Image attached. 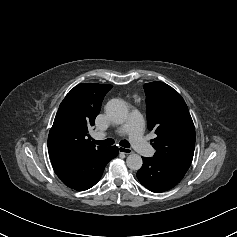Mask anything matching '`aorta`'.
<instances>
[{"label":"aorta","instance_id":"obj_1","mask_svg":"<svg viewBox=\"0 0 237 237\" xmlns=\"http://www.w3.org/2000/svg\"><path fill=\"white\" fill-rule=\"evenodd\" d=\"M105 112L109 119L116 124L124 123L128 116V108L121 99L110 100L105 106ZM126 164L131 170H139L143 161L140 155L133 153L127 157Z\"/></svg>","mask_w":237,"mask_h":237}]
</instances>
